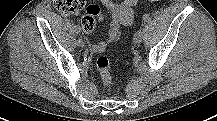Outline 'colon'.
<instances>
[{
	"label": "colon",
	"mask_w": 217,
	"mask_h": 121,
	"mask_svg": "<svg viewBox=\"0 0 217 121\" xmlns=\"http://www.w3.org/2000/svg\"><path fill=\"white\" fill-rule=\"evenodd\" d=\"M149 2H158L160 0H148ZM55 8L67 15H74L86 8V15L81 21L84 32H92L96 23L102 17L101 7L97 4H86V0H54ZM96 69L100 75L104 86L109 87L112 84V75L109 59L105 56L97 57L95 61Z\"/></svg>",
	"instance_id": "1"
}]
</instances>
